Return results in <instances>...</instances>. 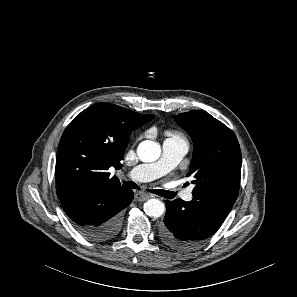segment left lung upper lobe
I'll return each mask as SVG.
<instances>
[{
    "mask_svg": "<svg viewBox=\"0 0 297 297\" xmlns=\"http://www.w3.org/2000/svg\"><path fill=\"white\" fill-rule=\"evenodd\" d=\"M174 119L191 136L193 159L187 176L193 177V199L235 202L241 177V150L226 125L210 114L191 110Z\"/></svg>",
    "mask_w": 297,
    "mask_h": 297,
    "instance_id": "1",
    "label": "left lung upper lobe"
}]
</instances>
